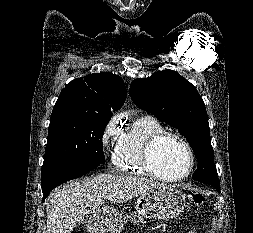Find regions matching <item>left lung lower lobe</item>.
Here are the masks:
<instances>
[{"instance_id": "left-lung-lower-lobe-1", "label": "left lung lower lobe", "mask_w": 253, "mask_h": 233, "mask_svg": "<svg viewBox=\"0 0 253 233\" xmlns=\"http://www.w3.org/2000/svg\"><path fill=\"white\" fill-rule=\"evenodd\" d=\"M210 185V184H209ZM212 187L216 188L218 192H220V185H211Z\"/></svg>"}]
</instances>
